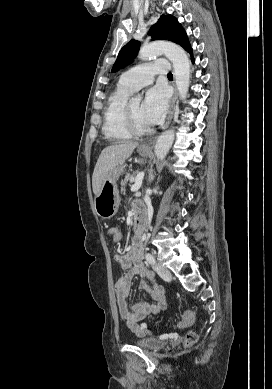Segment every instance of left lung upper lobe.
<instances>
[{"label": "left lung upper lobe", "mask_w": 272, "mask_h": 389, "mask_svg": "<svg viewBox=\"0 0 272 389\" xmlns=\"http://www.w3.org/2000/svg\"><path fill=\"white\" fill-rule=\"evenodd\" d=\"M149 34L152 39L169 40L182 46L187 52L191 50L187 35L172 15H161L158 22L150 29ZM140 42L136 40L129 41L120 50L118 57L113 65L112 71L115 72L120 68L133 62L139 51Z\"/></svg>", "instance_id": "5c2ea615"}]
</instances>
